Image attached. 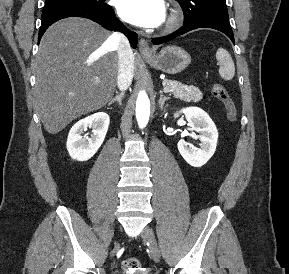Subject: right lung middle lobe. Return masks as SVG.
<instances>
[{
    "mask_svg": "<svg viewBox=\"0 0 289 274\" xmlns=\"http://www.w3.org/2000/svg\"><path fill=\"white\" fill-rule=\"evenodd\" d=\"M67 5H79L91 8H103L106 6L105 3H102V0H45L43 10Z\"/></svg>",
    "mask_w": 289,
    "mask_h": 274,
    "instance_id": "obj_1",
    "label": "right lung middle lobe"
}]
</instances>
